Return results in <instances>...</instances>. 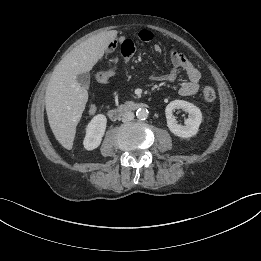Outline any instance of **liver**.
Instances as JSON below:
<instances>
[{
    "mask_svg": "<svg viewBox=\"0 0 261 261\" xmlns=\"http://www.w3.org/2000/svg\"><path fill=\"white\" fill-rule=\"evenodd\" d=\"M117 33L102 32L82 42L59 62L52 74L45 93L46 112L56 140L65 148L72 146L88 100V91L76 77L93 68Z\"/></svg>",
    "mask_w": 261,
    "mask_h": 261,
    "instance_id": "6515ba94",
    "label": "liver"
}]
</instances>
